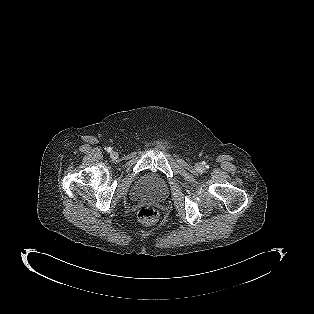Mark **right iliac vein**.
<instances>
[{
	"instance_id": "right-iliac-vein-1",
	"label": "right iliac vein",
	"mask_w": 314,
	"mask_h": 314,
	"mask_svg": "<svg viewBox=\"0 0 314 314\" xmlns=\"http://www.w3.org/2000/svg\"><path fill=\"white\" fill-rule=\"evenodd\" d=\"M110 157H111L112 159H116V158L118 157V153L115 152V151H112V152L110 153Z\"/></svg>"
}]
</instances>
